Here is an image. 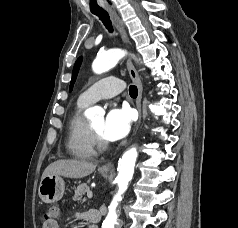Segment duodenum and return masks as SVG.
I'll return each mask as SVG.
<instances>
[{
    "mask_svg": "<svg viewBox=\"0 0 238 228\" xmlns=\"http://www.w3.org/2000/svg\"><path fill=\"white\" fill-rule=\"evenodd\" d=\"M86 219L90 222H92L94 224L93 228H97V224L101 221V213L96 210H89L88 212H86Z\"/></svg>",
    "mask_w": 238,
    "mask_h": 228,
    "instance_id": "duodenum-1",
    "label": "duodenum"
}]
</instances>
